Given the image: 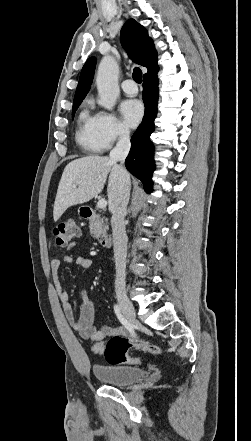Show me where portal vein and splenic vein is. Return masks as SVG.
Instances as JSON below:
<instances>
[{"label":"portal vein and splenic vein","instance_id":"18ae733b","mask_svg":"<svg viewBox=\"0 0 251 441\" xmlns=\"http://www.w3.org/2000/svg\"><path fill=\"white\" fill-rule=\"evenodd\" d=\"M106 206H107V201H106L105 199H100V200L97 202V207L100 208V209H103V208H105Z\"/></svg>","mask_w":251,"mask_h":441}]
</instances>
